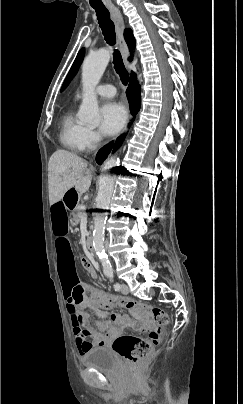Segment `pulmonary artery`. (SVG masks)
I'll list each match as a JSON object with an SVG mask.
<instances>
[{"label": "pulmonary artery", "instance_id": "obj_1", "mask_svg": "<svg viewBox=\"0 0 243 404\" xmlns=\"http://www.w3.org/2000/svg\"><path fill=\"white\" fill-rule=\"evenodd\" d=\"M99 56L102 57V60H101L102 65H105L108 60V55H107L106 50H103L102 52H100ZM96 93L100 96L111 97L115 94V87L109 83L101 84L96 87Z\"/></svg>", "mask_w": 243, "mask_h": 404}]
</instances>
